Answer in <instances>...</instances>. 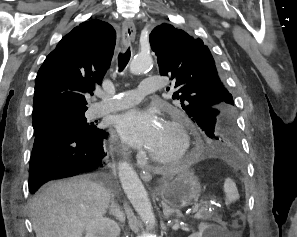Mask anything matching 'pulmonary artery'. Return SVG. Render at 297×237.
I'll return each instance as SVG.
<instances>
[{
	"label": "pulmonary artery",
	"mask_w": 297,
	"mask_h": 237,
	"mask_svg": "<svg viewBox=\"0 0 297 237\" xmlns=\"http://www.w3.org/2000/svg\"><path fill=\"white\" fill-rule=\"evenodd\" d=\"M163 80L158 77H146L135 90L119 93L113 98H105L92 106V113L96 116L104 113L116 112L138 104L145 96L157 92Z\"/></svg>",
	"instance_id": "e3ab8cb5"
}]
</instances>
